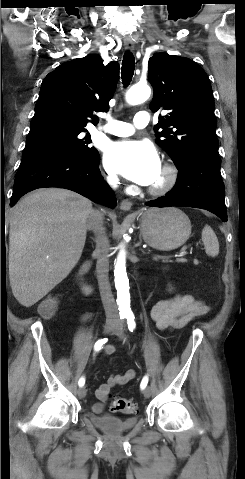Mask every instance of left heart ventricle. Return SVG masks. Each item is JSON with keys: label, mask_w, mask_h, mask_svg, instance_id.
<instances>
[{"label": "left heart ventricle", "mask_w": 245, "mask_h": 479, "mask_svg": "<svg viewBox=\"0 0 245 479\" xmlns=\"http://www.w3.org/2000/svg\"><path fill=\"white\" fill-rule=\"evenodd\" d=\"M162 176H163V174H162V171H161L160 174H159V176L157 177V179H156L155 182L153 183V185H154V184H157L158 182H160L161 179H162Z\"/></svg>", "instance_id": "obj_1"}]
</instances>
